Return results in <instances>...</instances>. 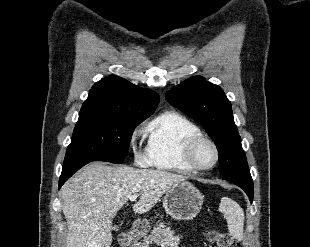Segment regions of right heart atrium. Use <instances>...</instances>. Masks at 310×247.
<instances>
[{
    "instance_id": "right-heart-atrium-1",
    "label": "right heart atrium",
    "mask_w": 310,
    "mask_h": 247,
    "mask_svg": "<svg viewBox=\"0 0 310 247\" xmlns=\"http://www.w3.org/2000/svg\"><path fill=\"white\" fill-rule=\"evenodd\" d=\"M130 144L132 147V150L134 152V155L136 157V160L143 165H148L149 164V158L146 153H141L140 151V146L137 142V135L133 134L130 140Z\"/></svg>"
}]
</instances>
